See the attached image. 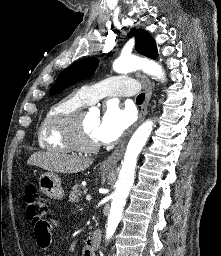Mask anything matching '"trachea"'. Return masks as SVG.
<instances>
[{
  "label": "trachea",
  "mask_w": 221,
  "mask_h": 256,
  "mask_svg": "<svg viewBox=\"0 0 221 256\" xmlns=\"http://www.w3.org/2000/svg\"><path fill=\"white\" fill-rule=\"evenodd\" d=\"M145 99V93H141L140 95H138L136 101L139 103H142Z\"/></svg>",
  "instance_id": "3493384b"
}]
</instances>
